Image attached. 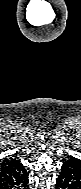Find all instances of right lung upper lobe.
Wrapping results in <instances>:
<instances>
[{"label":"right lung upper lobe","mask_w":81,"mask_h":189,"mask_svg":"<svg viewBox=\"0 0 81 189\" xmlns=\"http://www.w3.org/2000/svg\"><path fill=\"white\" fill-rule=\"evenodd\" d=\"M18 160H16V159H13V158H8V159H5L4 161H3V163L1 164V166H0V168H2V167H5V166H7V165H10V164H12V163H14V162H17Z\"/></svg>","instance_id":"right-lung-upper-lobe-1"}]
</instances>
